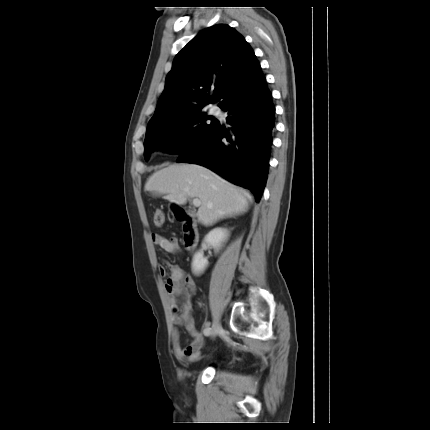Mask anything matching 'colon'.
Wrapping results in <instances>:
<instances>
[{
	"label": "colon",
	"instance_id": "obj_1",
	"mask_svg": "<svg viewBox=\"0 0 430 430\" xmlns=\"http://www.w3.org/2000/svg\"><path fill=\"white\" fill-rule=\"evenodd\" d=\"M153 220H154V224H155L156 226H161V225H163V224H164V221H165V214H164V211H163V210H161V209H157V210L154 212Z\"/></svg>",
	"mask_w": 430,
	"mask_h": 430
}]
</instances>
